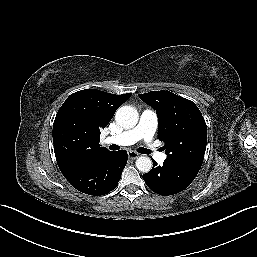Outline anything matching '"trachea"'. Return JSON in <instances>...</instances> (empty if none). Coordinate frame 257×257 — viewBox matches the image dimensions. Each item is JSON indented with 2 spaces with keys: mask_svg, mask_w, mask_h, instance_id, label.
<instances>
[{
  "mask_svg": "<svg viewBox=\"0 0 257 257\" xmlns=\"http://www.w3.org/2000/svg\"><path fill=\"white\" fill-rule=\"evenodd\" d=\"M110 149H111V150H119L120 148H119V146H117V145H111V146H110ZM137 151H138L139 153H141V154H149V150H148V149H145V148H143V147L138 148Z\"/></svg>",
  "mask_w": 257,
  "mask_h": 257,
  "instance_id": "1",
  "label": "trachea"
}]
</instances>
